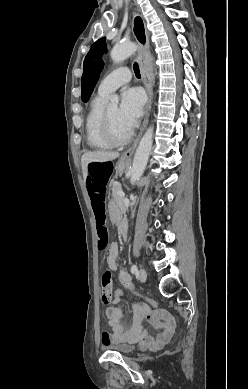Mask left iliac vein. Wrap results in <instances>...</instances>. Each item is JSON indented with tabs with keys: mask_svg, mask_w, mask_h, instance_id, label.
Listing matches in <instances>:
<instances>
[{
	"mask_svg": "<svg viewBox=\"0 0 248 389\" xmlns=\"http://www.w3.org/2000/svg\"><path fill=\"white\" fill-rule=\"evenodd\" d=\"M138 278H139V280L142 281V282L146 281V279H147V273H146L145 269L142 268V269L139 270V272H138Z\"/></svg>",
	"mask_w": 248,
	"mask_h": 389,
	"instance_id": "left-iliac-vein-1",
	"label": "left iliac vein"
}]
</instances>
